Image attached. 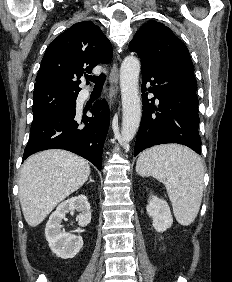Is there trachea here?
<instances>
[{
	"instance_id": "obj_1",
	"label": "trachea",
	"mask_w": 232,
	"mask_h": 282,
	"mask_svg": "<svg viewBox=\"0 0 232 282\" xmlns=\"http://www.w3.org/2000/svg\"><path fill=\"white\" fill-rule=\"evenodd\" d=\"M86 78L93 83H95L94 91L101 92L103 88V84L105 82L106 76L104 74H101L99 76H86Z\"/></svg>"
}]
</instances>
